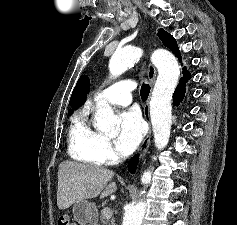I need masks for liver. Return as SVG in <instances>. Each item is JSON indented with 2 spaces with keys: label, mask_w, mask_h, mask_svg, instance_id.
Returning a JSON list of instances; mask_svg holds the SVG:
<instances>
[{
  "label": "liver",
  "mask_w": 237,
  "mask_h": 225,
  "mask_svg": "<svg viewBox=\"0 0 237 225\" xmlns=\"http://www.w3.org/2000/svg\"><path fill=\"white\" fill-rule=\"evenodd\" d=\"M113 176V171L99 166L62 162L58 170V208L65 210L77 201L113 194L117 190L116 183L107 185Z\"/></svg>",
  "instance_id": "obj_1"
}]
</instances>
